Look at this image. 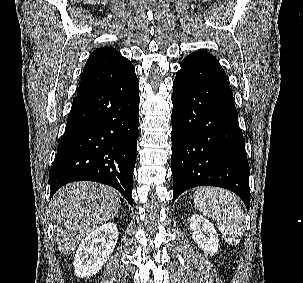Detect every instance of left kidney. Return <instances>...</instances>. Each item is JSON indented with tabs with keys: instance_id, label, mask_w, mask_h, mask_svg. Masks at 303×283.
<instances>
[{
	"instance_id": "left-kidney-1",
	"label": "left kidney",
	"mask_w": 303,
	"mask_h": 283,
	"mask_svg": "<svg viewBox=\"0 0 303 283\" xmlns=\"http://www.w3.org/2000/svg\"><path fill=\"white\" fill-rule=\"evenodd\" d=\"M192 238L198 246L211 256L218 250V235L211 222L199 215L190 219Z\"/></svg>"
}]
</instances>
